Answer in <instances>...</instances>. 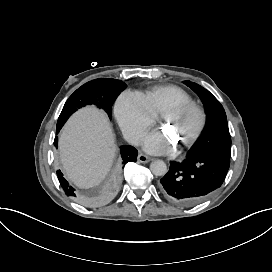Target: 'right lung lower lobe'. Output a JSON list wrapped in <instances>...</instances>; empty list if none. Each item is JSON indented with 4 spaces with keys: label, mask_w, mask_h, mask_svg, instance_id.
Here are the masks:
<instances>
[{
    "label": "right lung lower lobe",
    "mask_w": 272,
    "mask_h": 272,
    "mask_svg": "<svg viewBox=\"0 0 272 272\" xmlns=\"http://www.w3.org/2000/svg\"><path fill=\"white\" fill-rule=\"evenodd\" d=\"M61 127H57L56 133L60 131ZM55 146L57 148L58 138H55ZM121 160L119 162V168L113 174L112 178L102 187L100 191L95 194L85 195L82 197V202L90 207H97L105 204L109 199H111L119 190L122 179L119 171L124 168V166L129 162H134L137 160V150L132 146H121L120 148ZM58 180L61 187L63 188L67 196H74L75 189L68 183V181L63 177L60 170L57 171Z\"/></svg>",
    "instance_id": "98d812e1"
}]
</instances>
